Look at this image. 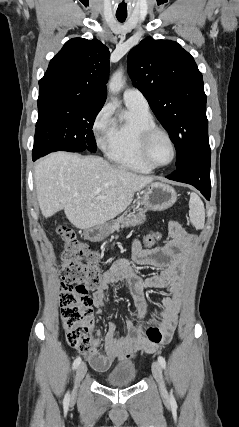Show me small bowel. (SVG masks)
I'll list each match as a JSON object with an SVG mask.
<instances>
[{"mask_svg":"<svg viewBox=\"0 0 239 427\" xmlns=\"http://www.w3.org/2000/svg\"><path fill=\"white\" fill-rule=\"evenodd\" d=\"M169 233L170 240L165 245L154 249H143L139 240L133 242L134 261L141 265L156 267L159 269L158 273L140 279L129 271L128 262L122 260L103 274L101 284L93 293V303L98 314H102V309L106 304V291L124 277L131 286L139 323L127 320L125 333L116 336L115 324L110 320L101 350L98 348L99 340L93 338L91 351L84 354L95 370L106 371L119 358L124 364H127L136 351L142 347H146L150 351L158 348V345H153L145 339L141 332V324L148 313V305L144 297L146 289L166 288L170 292V296L157 302L153 312L162 319L161 329L164 334V343L171 340L181 305V276L190 253L192 238L174 220L169 222Z\"/></svg>","mask_w":239,"mask_h":427,"instance_id":"obj_1","label":"small bowel"}]
</instances>
